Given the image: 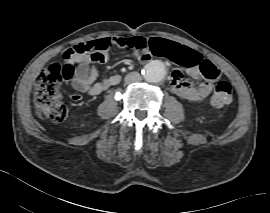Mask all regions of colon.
Instances as JSON below:
<instances>
[{
    "mask_svg": "<svg viewBox=\"0 0 270 213\" xmlns=\"http://www.w3.org/2000/svg\"><path fill=\"white\" fill-rule=\"evenodd\" d=\"M118 47L128 48L135 55H139L146 47L147 42L142 37L118 38ZM83 50L73 48L64 54V63H53L42 69L35 80L33 100L39 116L42 119L53 122H62L68 116V108L63 102L61 84L69 80L74 74V68L69 60L75 58ZM202 76L215 82L218 79V70L210 61L201 64ZM73 99V96L71 97ZM232 102V89L227 81H219L215 84L211 97L214 107H226Z\"/></svg>",
    "mask_w": 270,
    "mask_h": 213,
    "instance_id": "1",
    "label": "colon"
}]
</instances>
